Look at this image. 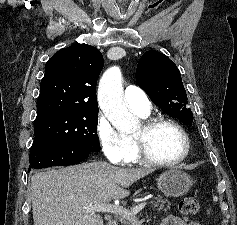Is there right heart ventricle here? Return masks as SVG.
I'll use <instances>...</instances> for the list:
<instances>
[{
	"label": "right heart ventricle",
	"instance_id": "1",
	"mask_svg": "<svg viewBox=\"0 0 237 225\" xmlns=\"http://www.w3.org/2000/svg\"><path fill=\"white\" fill-rule=\"evenodd\" d=\"M138 114V113H137ZM140 115V114H139ZM142 117H147L148 115H140ZM137 161V157H136V154H135V151L130 159V162H136Z\"/></svg>",
	"mask_w": 237,
	"mask_h": 225
}]
</instances>
